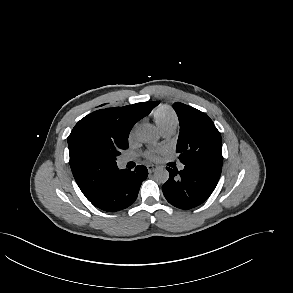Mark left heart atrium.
<instances>
[{
	"label": "left heart atrium",
	"instance_id": "1",
	"mask_svg": "<svg viewBox=\"0 0 293 293\" xmlns=\"http://www.w3.org/2000/svg\"><path fill=\"white\" fill-rule=\"evenodd\" d=\"M158 154H159V151L158 150H151L147 153V158L150 159V160H155L157 159L158 157Z\"/></svg>",
	"mask_w": 293,
	"mask_h": 293
}]
</instances>
